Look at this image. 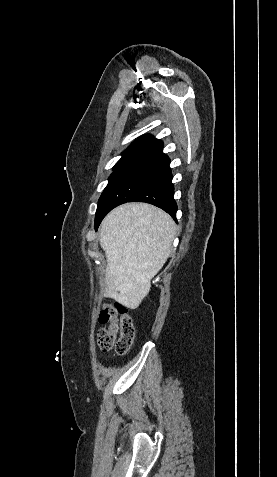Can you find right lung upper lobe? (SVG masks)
<instances>
[{
	"instance_id": "1",
	"label": "right lung upper lobe",
	"mask_w": 277,
	"mask_h": 477,
	"mask_svg": "<svg viewBox=\"0 0 277 477\" xmlns=\"http://www.w3.org/2000/svg\"><path fill=\"white\" fill-rule=\"evenodd\" d=\"M163 143L151 135H143L135 140L123 153L113 169L141 166L162 169L170 160L163 153Z\"/></svg>"
}]
</instances>
